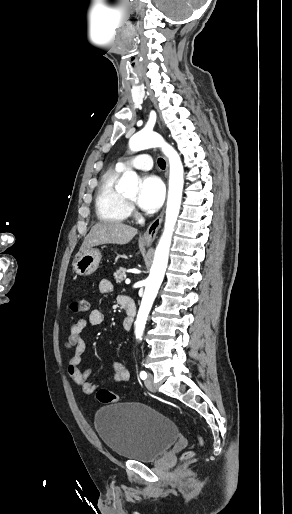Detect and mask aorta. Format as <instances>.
Listing matches in <instances>:
<instances>
[{"label": "aorta", "mask_w": 292, "mask_h": 514, "mask_svg": "<svg viewBox=\"0 0 292 514\" xmlns=\"http://www.w3.org/2000/svg\"><path fill=\"white\" fill-rule=\"evenodd\" d=\"M129 146L132 152H140V150H148V148H162V152L168 158L170 166L164 232L156 248L153 266L150 276L146 280V288L136 320L135 334L136 338L140 340L151 306L158 294L166 272L172 234L180 212L184 186V170L179 154L175 152L172 146L165 144L157 132L142 130V132H138V134L130 138ZM120 186L123 190L137 192L138 178L136 172H125L120 180Z\"/></svg>", "instance_id": "aorta-1"}]
</instances>
